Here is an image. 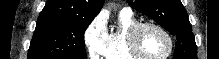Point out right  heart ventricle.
Returning a JSON list of instances; mask_svg holds the SVG:
<instances>
[{
  "instance_id": "1",
  "label": "right heart ventricle",
  "mask_w": 219,
  "mask_h": 59,
  "mask_svg": "<svg viewBox=\"0 0 219 59\" xmlns=\"http://www.w3.org/2000/svg\"><path fill=\"white\" fill-rule=\"evenodd\" d=\"M119 25L108 33V40L102 54L103 59H137L127 46V35L138 20L132 12H119Z\"/></svg>"
}]
</instances>
